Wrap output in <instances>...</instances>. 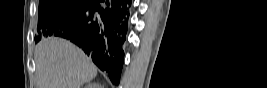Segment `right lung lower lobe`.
I'll return each instance as SVG.
<instances>
[{
    "instance_id": "1",
    "label": "right lung lower lobe",
    "mask_w": 267,
    "mask_h": 88,
    "mask_svg": "<svg viewBox=\"0 0 267 88\" xmlns=\"http://www.w3.org/2000/svg\"><path fill=\"white\" fill-rule=\"evenodd\" d=\"M130 8L131 0H87L68 17L53 22L46 35L78 45L118 85Z\"/></svg>"
}]
</instances>
